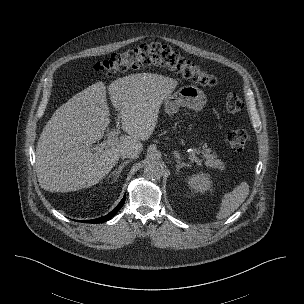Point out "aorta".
<instances>
[{"label":"aorta","instance_id":"obj_1","mask_svg":"<svg viewBox=\"0 0 304 304\" xmlns=\"http://www.w3.org/2000/svg\"><path fill=\"white\" fill-rule=\"evenodd\" d=\"M164 168L160 161L151 159L144 166V175L148 179H160L163 175Z\"/></svg>","mask_w":304,"mask_h":304}]
</instances>
